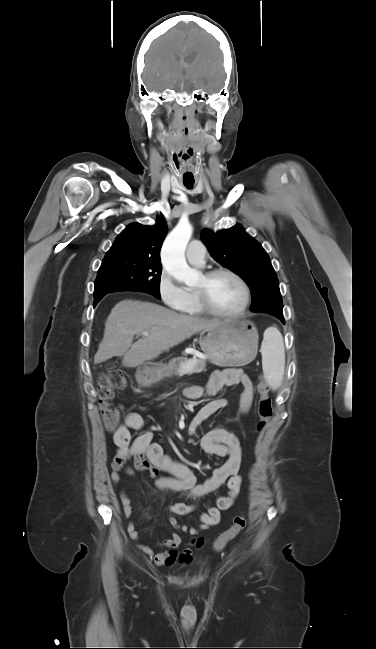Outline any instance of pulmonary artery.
Listing matches in <instances>:
<instances>
[{"instance_id":"e3ab8cb5","label":"pulmonary artery","mask_w":376,"mask_h":649,"mask_svg":"<svg viewBox=\"0 0 376 649\" xmlns=\"http://www.w3.org/2000/svg\"><path fill=\"white\" fill-rule=\"evenodd\" d=\"M205 246L201 241H191L187 247L186 257L188 261L196 266H203L205 264Z\"/></svg>"}]
</instances>
